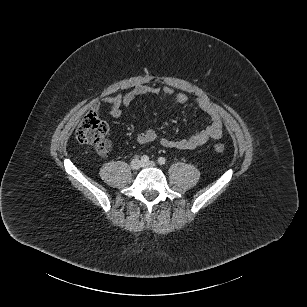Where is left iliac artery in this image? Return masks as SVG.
Returning a JSON list of instances; mask_svg holds the SVG:
<instances>
[{"mask_svg": "<svg viewBox=\"0 0 307 307\" xmlns=\"http://www.w3.org/2000/svg\"><path fill=\"white\" fill-rule=\"evenodd\" d=\"M158 163H159L160 165H164V164L166 163V159H165L164 157H159V158H158Z\"/></svg>", "mask_w": 307, "mask_h": 307, "instance_id": "1", "label": "left iliac artery"}]
</instances>
